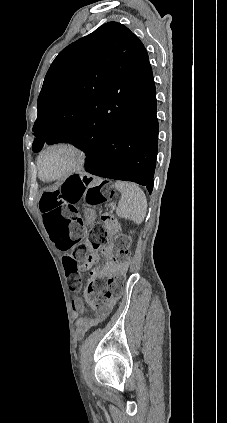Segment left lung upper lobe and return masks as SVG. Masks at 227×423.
I'll return each instance as SVG.
<instances>
[{
    "instance_id": "1",
    "label": "left lung upper lobe",
    "mask_w": 227,
    "mask_h": 423,
    "mask_svg": "<svg viewBox=\"0 0 227 423\" xmlns=\"http://www.w3.org/2000/svg\"><path fill=\"white\" fill-rule=\"evenodd\" d=\"M153 85L137 36L117 22L102 25L51 64L38 97L33 151L95 133L109 112H141Z\"/></svg>"
}]
</instances>
